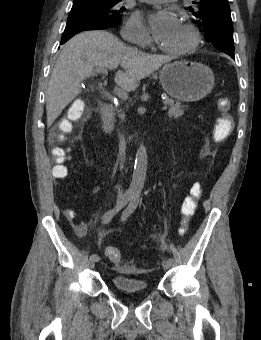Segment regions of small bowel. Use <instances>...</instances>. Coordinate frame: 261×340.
<instances>
[{"instance_id":"small-bowel-1","label":"small bowel","mask_w":261,"mask_h":340,"mask_svg":"<svg viewBox=\"0 0 261 340\" xmlns=\"http://www.w3.org/2000/svg\"><path fill=\"white\" fill-rule=\"evenodd\" d=\"M71 217L74 216L73 212L69 213ZM74 230L77 233L78 236H84L87 230V223L84 221L77 222L74 224ZM117 270H123L122 267H117Z\"/></svg>"}]
</instances>
